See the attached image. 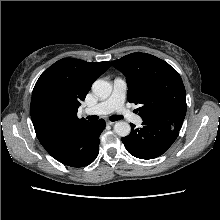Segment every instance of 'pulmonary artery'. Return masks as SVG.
Masks as SVG:
<instances>
[{
  "label": "pulmonary artery",
  "mask_w": 220,
  "mask_h": 220,
  "mask_svg": "<svg viewBox=\"0 0 220 220\" xmlns=\"http://www.w3.org/2000/svg\"><path fill=\"white\" fill-rule=\"evenodd\" d=\"M127 91V83L124 79L118 77L113 81V91L111 95L104 101L96 104L93 107L86 108L84 110L85 114L88 115H107L112 112L121 114L123 117L129 121L140 125L142 123V118L139 115H135L129 112L125 106V96Z\"/></svg>",
  "instance_id": "1"
}]
</instances>
